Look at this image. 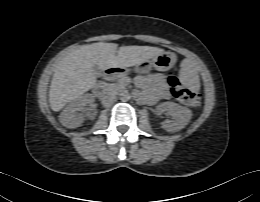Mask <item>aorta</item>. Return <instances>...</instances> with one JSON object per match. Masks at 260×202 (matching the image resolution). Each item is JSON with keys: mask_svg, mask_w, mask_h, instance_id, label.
<instances>
[{"mask_svg": "<svg viewBox=\"0 0 260 202\" xmlns=\"http://www.w3.org/2000/svg\"><path fill=\"white\" fill-rule=\"evenodd\" d=\"M128 99H130V94L128 91H123L120 93V100L121 101H127Z\"/></svg>", "mask_w": 260, "mask_h": 202, "instance_id": "762f6f07", "label": "aorta"}]
</instances>
